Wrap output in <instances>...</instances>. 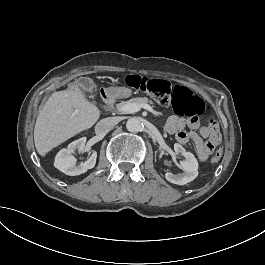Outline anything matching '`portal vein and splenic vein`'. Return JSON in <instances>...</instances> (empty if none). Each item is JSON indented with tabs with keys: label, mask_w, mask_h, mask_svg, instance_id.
<instances>
[{
	"label": "portal vein and splenic vein",
	"mask_w": 265,
	"mask_h": 265,
	"mask_svg": "<svg viewBox=\"0 0 265 265\" xmlns=\"http://www.w3.org/2000/svg\"><path fill=\"white\" fill-rule=\"evenodd\" d=\"M140 107L141 106L138 105V104H134V103L127 102L126 104H122V105L118 106L117 107V110L119 112H124V113H135V112H137V111L140 110ZM142 107L144 109L150 111V112L152 111L151 106L148 105V104H144V105H142Z\"/></svg>",
	"instance_id": "1"
}]
</instances>
